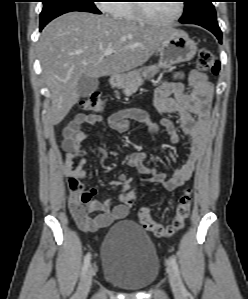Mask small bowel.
<instances>
[{"label":"small bowel","instance_id":"c3829d8e","mask_svg":"<svg viewBox=\"0 0 248 299\" xmlns=\"http://www.w3.org/2000/svg\"><path fill=\"white\" fill-rule=\"evenodd\" d=\"M176 77L179 79L186 77L191 92L186 91V86L181 80H166L155 90L154 104L162 113L179 115L181 129L190 145L187 161L175 170L170 178L145 165L144 162L147 158L145 152H133L127 161L137 174H151V177L146 181L161 184L168 191H173L189 181L202 160L204 145L209 132V110L213 93L212 82L199 71L193 70L186 76L179 73ZM102 121L103 119L99 115L80 114L64 129L62 147L67 151L65 166L69 188L72 187L74 181L81 182L85 178L87 156L90 153H96L99 156L105 155L103 149L84 150L80 148V144L93 135L84 130L83 127L86 125L95 126ZM135 122L145 124L150 133L157 131V125L151 122L144 113L119 111L111 115L106 121L110 129L119 133L126 132ZM161 125L166 129L171 142L177 143L180 140L176 127L168 119H163ZM75 157L78 159V164L72 169L71 166ZM133 178V176H119L118 180L122 184V193L118 197L119 204L112 210L108 201L102 202L94 199L95 188H84L83 192L88 197L90 212H97V214L94 216L87 214L84 217L73 216L79 228L84 232L92 233L108 227L115 220L125 218L128 207L124 200L126 192L131 188Z\"/></svg>","mask_w":248,"mask_h":299}]
</instances>
